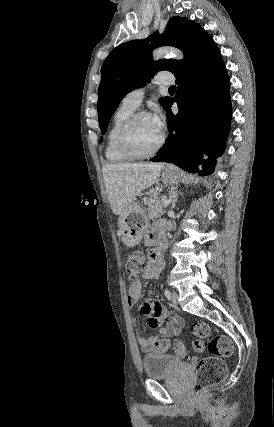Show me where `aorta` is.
<instances>
[{
  "instance_id": "obj_1",
  "label": "aorta",
  "mask_w": 274,
  "mask_h": 427,
  "mask_svg": "<svg viewBox=\"0 0 274 427\" xmlns=\"http://www.w3.org/2000/svg\"><path fill=\"white\" fill-rule=\"evenodd\" d=\"M153 59L154 60H159L162 58H167V57H171L177 60L183 59V53L176 49V48H170V47H164V48H159L153 51Z\"/></svg>"
}]
</instances>
